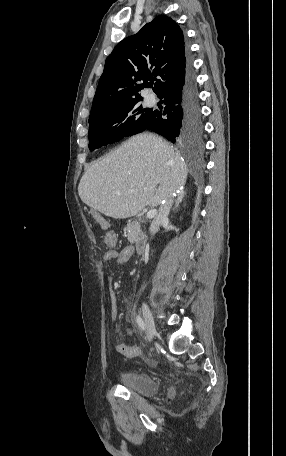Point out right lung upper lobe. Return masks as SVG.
Listing matches in <instances>:
<instances>
[{
  "instance_id": "1",
  "label": "right lung upper lobe",
  "mask_w": 286,
  "mask_h": 456,
  "mask_svg": "<svg viewBox=\"0 0 286 456\" xmlns=\"http://www.w3.org/2000/svg\"><path fill=\"white\" fill-rule=\"evenodd\" d=\"M189 65L179 25L170 17L157 16L107 57L89 122L108 109L141 101L140 93L152 79L157 81L153 91L158 95L183 78Z\"/></svg>"
}]
</instances>
